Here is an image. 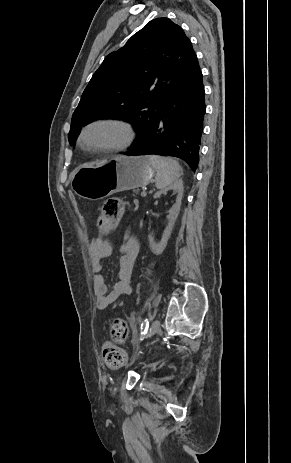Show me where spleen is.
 <instances>
[{"label": "spleen", "instance_id": "spleen-1", "mask_svg": "<svg viewBox=\"0 0 291 463\" xmlns=\"http://www.w3.org/2000/svg\"><path fill=\"white\" fill-rule=\"evenodd\" d=\"M148 159L152 167L157 171L155 184L158 189H163L177 181L182 175L179 163L172 158L151 155Z\"/></svg>", "mask_w": 291, "mask_h": 463}]
</instances>
